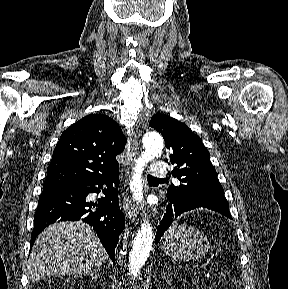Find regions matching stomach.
<instances>
[{
	"label": "stomach",
	"mask_w": 288,
	"mask_h": 289,
	"mask_svg": "<svg viewBox=\"0 0 288 289\" xmlns=\"http://www.w3.org/2000/svg\"><path fill=\"white\" fill-rule=\"evenodd\" d=\"M163 250L174 260L189 261L203 257L209 249L207 236L191 226H177L165 235Z\"/></svg>",
	"instance_id": "0dacf381"
}]
</instances>
